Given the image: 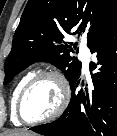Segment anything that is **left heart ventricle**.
<instances>
[{
	"instance_id": "obj_1",
	"label": "left heart ventricle",
	"mask_w": 117,
	"mask_h": 136,
	"mask_svg": "<svg viewBox=\"0 0 117 136\" xmlns=\"http://www.w3.org/2000/svg\"><path fill=\"white\" fill-rule=\"evenodd\" d=\"M60 101V90L52 78L37 82L26 94L22 103V115L27 120H37L52 114Z\"/></svg>"
}]
</instances>
